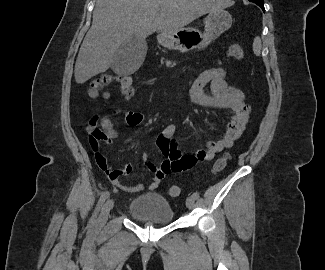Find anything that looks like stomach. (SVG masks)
I'll return each mask as SVG.
<instances>
[{"label": "stomach", "mask_w": 325, "mask_h": 270, "mask_svg": "<svg viewBox=\"0 0 325 270\" xmlns=\"http://www.w3.org/2000/svg\"><path fill=\"white\" fill-rule=\"evenodd\" d=\"M232 25V16L224 9L210 11L205 18V31H179L175 34H161L159 42L167 48L188 52L208 46Z\"/></svg>", "instance_id": "1"}]
</instances>
